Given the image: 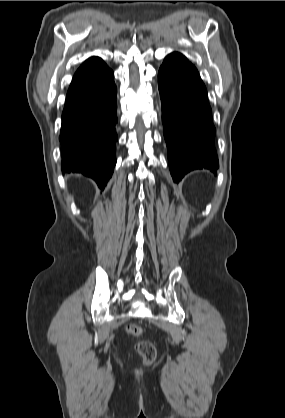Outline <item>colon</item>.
Here are the masks:
<instances>
[{
    "mask_svg": "<svg viewBox=\"0 0 285 418\" xmlns=\"http://www.w3.org/2000/svg\"><path fill=\"white\" fill-rule=\"evenodd\" d=\"M126 332L130 336L139 337L142 334V329L139 326L130 325L126 328ZM135 347L144 365H150L155 361L157 351L152 342L140 340L135 343Z\"/></svg>",
    "mask_w": 285,
    "mask_h": 418,
    "instance_id": "1",
    "label": "colon"
}]
</instances>
